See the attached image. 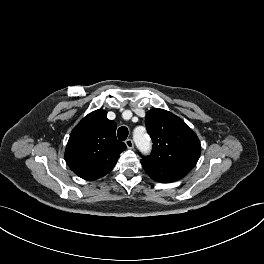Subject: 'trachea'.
<instances>
[{
    "label": "trachea",
    "mask_w": 264,
    "mask_h": 264,
    "mask_svg": "<svg viewBox=\"0 0 264 264\" xmlns=\"http://www.w3.org/2000/svg\"><path fill=\"white\" fill-rule=\"evenodd\" d=\"M117 136H118V139L119 140H126L127 136H128V129L127 127L125 126H122L118 129V132H117Z\"/></svg>",
    "instance_id": "1"
}]
</instances>
